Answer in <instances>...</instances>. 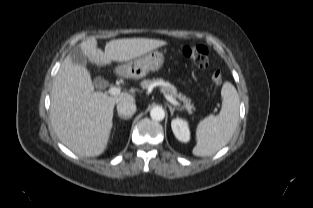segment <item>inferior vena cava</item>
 <instances>
[{
    "mask_svg": "<svg viewBox=\"0 0 313 208\" xmlns=\"http://www.w3.org/2000/svg\"><path fill=\"white\" fill-rule=\"evenodd\" d=\"M117 112L123 116H132L136 112V104L132 101H122L117 104Z\"/></svg>",
    "mask_w": 313,
    "mask_h": 208,
    "instance_id": "inferior-vena-cava-1",
    "label": "inferior vena cava"
}]
</instances>
